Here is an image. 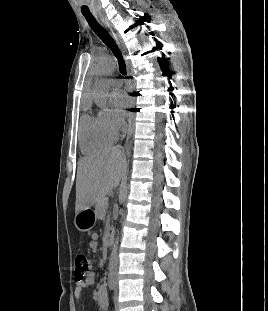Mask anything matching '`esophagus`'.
I'll return each instance as SVG.
<instances>
[{
	"label": "esophagus",
	"instance_id": "1",
	"mask_svg": "<svg viewBox=\"0 0 268 311\" xmlns=\"http://www.w3.org/2000/svg\"><path fill=\"white\" fill-rule=\"evenodd\" d=\"M99 19L102 22V24L109 30V32L112 35V37L114 38V40L116 41V43L121 48V51H122V53L124 55V58H125V61H126V65H127V74L129 75V73H130V63H129L128 57L126 56V53H125L126 51H125L124 45L122 44L120 36L115 32V30L113 29L111 24L104 17H99ZM131 97H133L135 100L138 98L136 90L133 89V91L131 92ZM133 118H134V113L131 112V114L129 116V119H128L127 141H128V139L130 138V136H131V134L133 132Z\"/></svg>",
	"mask_w": 268,
	"mask_h": 311
}]
</instances>
